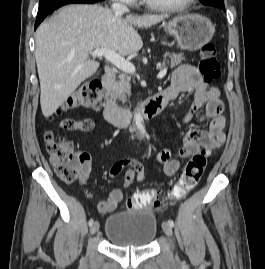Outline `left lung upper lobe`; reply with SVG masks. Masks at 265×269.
Returning a JSON list of instances; mask_svg holds the SVG:
<instances>
[{
    "label": "left lung upper lobe",
    "mask_w": 265,
    "mask_h": 269,
    "mask_svg": "<svg viewBox=\"0 0 265 269\" xmlns=\"http://www.w3.org/2000/svg\"><path fill=\"white\" fill-rule=\"evenodd\" d=\"M202 4H206L209 2H216V3H220V4H224V0H200Z\"/></svg>",
    "instance_id": "obj_1"
}]
</instances>
